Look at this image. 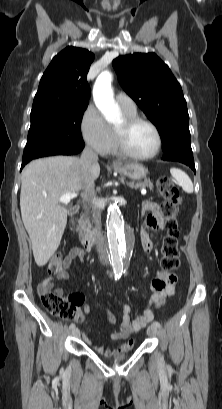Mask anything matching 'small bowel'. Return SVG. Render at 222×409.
<instances>
[{
    "mask_svg": "<svg viewBox=\"0 0 222 409\" xmlns=\"http://www.w3.org/2000/svg\"><path fill=\"white\" fill-rule=\"evenodd\" d=\"M142 213L146 214V218L141 228L140 239L143 249L150 253L153 250V243L151 240V232L160 231L163 229L164 219L160 213L159 204L154 201H144L142 204ZM85 252L80 247H73L70 249L69 253L65 257V269L57 273L54 276H49L44 279L38 286V292L48 291L50 289H55L60 293H63L61 287H56V281L58 280H68L69 274L67 269L76 260H83L85 258ZM155 274L157 277L151 283V289L153 294L149 297L146 306L140 314H137L134 319L131 318V307L128 304L121 305V320L119 329L111 331L110 337L113 340L128 339L118 347L115 348H104L95 347V350L105 356L113 355L119 352H124L132 349L134 346V340L131 337L132 334L143 328L152 319V309L155 304L161 302L164 298L172 296L175 294V284L177 282V276L175 274H169L168 272H161L156 270ZM84 314H88L89 308L87 305H82ZM109 322L112 324L116 323L115 318L106 311ZM84 339L89 341L85 336Z\"/></svg>",
    "mask_w": 222,
    "mask_h": 409,
    "instance_id": "small-bowel-1",
    "label": "small bowel"
}]
</instances>
